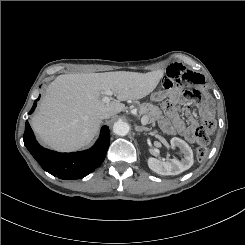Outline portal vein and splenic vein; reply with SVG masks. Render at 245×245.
<instances>
[{"instance_id":"portal-vein-and-splenic-vein-1","label":"portal vein and splenic vein","mask_w":245,"mask_h":245,"mask_svg":"<svg viewBox=\"0 0 245 245\" xmlns=\"http://www.w3.org/2000/svg\"><path fill=\"white\" fill-rule=\"evenodd\" d=\"M103 94H104V96L102 98V102L109 103L110 100H111V96L113 95V92L110 89H107V90L104 91ZM141 123L143 125H146L147 124V118L146 117H142L141 118Z\"/></svg>"}]
</instances>
